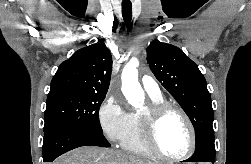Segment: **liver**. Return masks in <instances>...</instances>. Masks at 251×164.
<instances>
[{
	"label": "liver",
	"instance_id": "liver-1",
	"mask_svg": "<svg viewBox=\"0 0 251 164\" xmlns=\"http://www.w3.org/2000/svg\"><path fill=\"white\" fill-rule=\"evenodd\" d=\"M52 164H154L121 151L84 146L74 149Z\"/></svg>",
	"mask_w": 251,
	"mask_h": 164
}]
</instances>
